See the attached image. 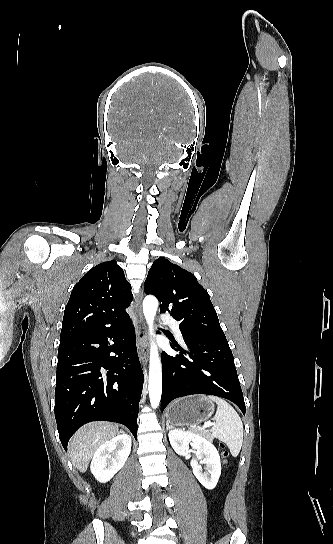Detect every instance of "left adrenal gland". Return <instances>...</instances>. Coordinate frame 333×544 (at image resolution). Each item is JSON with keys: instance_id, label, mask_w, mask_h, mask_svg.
Wrapping results in <instances>:
<instances>
[{"instance_id": "obj_1", "label": "left adrenal gland", "mask_w": 333, "mask_h": 544, "mask_svg": "<svg viewBox=\"0 0 333 544\" xmlns=\"http://www.w3.org/2000/svg\"><path fill=\"white\" fill-rule=\"evenodd\" d=\"M166 425H167V427H166V429H167V430H169V429H171V428H172V426H171V425H169V422H168V421L166 422Z\"/></svg>"}]
</instances>
